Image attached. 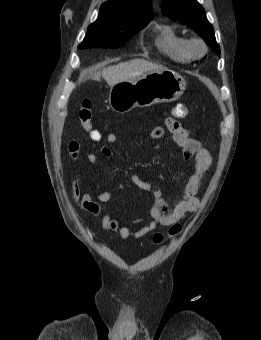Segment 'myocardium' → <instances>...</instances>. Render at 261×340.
<instances>
[{"mask_svg":"<svg viewBox=\"0 0 261 340\" xmlns=\"http://www.w3.org/2000/svg\"><path fill=\"white\" fill-rule=\"evenodd\" d=\"M189 50L195 57L203 56L207 51L205 42L200 38H194L189 40Z\"/></svg>","mask_w":261,"mask_h":340,"instance_id":"1","label":"myocardium"}]
</instances>
